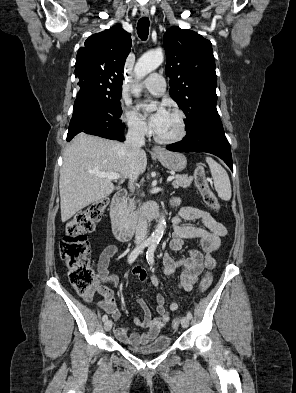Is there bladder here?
<instances>
[{
    "instance_id": "31cf9c89",
    "label": "bladder",
    "mask_w": 296,
    "mask_h": 393,
    "mask_svg": "<svg viewBox=\"0 0 296 393\" xmlns=\"http://www.w3.org/2000/svg\"><path fill=\"white\" fill-rule=\"evenodd\" d=\"M171 342V337L159 335L143 347H127V349L133 353L149 355L166 350L171 345Z\"/></svg>"
}]
</instances>
